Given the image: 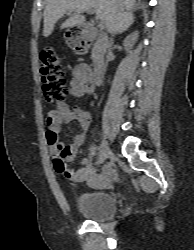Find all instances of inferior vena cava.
I'll return each instance as SVG.
<instances>
[{"label": "inferior vena cava", "mask_w": 194, "mask_h": 250, "mask_svg": "<svg viewBox=\"0 0 194 250\" xmlns=\"http://www.w3.org/2000/svg\"><path fill=\"white\" fill-rule=\"evenodd\" d=\"M112 44H113V38L110 39L109 44H108L109 51H110V47Z\"/></svg>", "instance_id": "inferior-vena-cava-1"}]
</instances>
